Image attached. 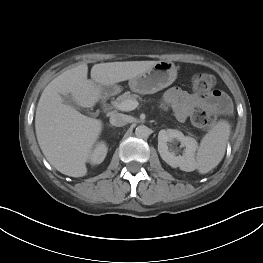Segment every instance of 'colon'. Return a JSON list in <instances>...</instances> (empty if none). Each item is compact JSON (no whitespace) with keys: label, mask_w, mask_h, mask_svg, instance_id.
<instances>
[{"label":"colon","mask_w":263,"mask_h":263,"mask_svg":"<svg viewBox=\"0 0 263 263\" xmlns=\"http://www.w3.org/2000/svg\"><path fill=\"white\" fill-rule=\"evenodd\" d=\"M215 78L209 73H198L192 77L191 87L198 96H209L214 93ZM192 124L200 129H208L215 121V114L212 109L200 108L191 117Z\"/></svg>","instance_id":"colon-1"}]
</instances>
